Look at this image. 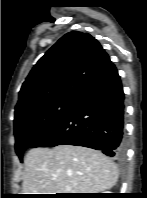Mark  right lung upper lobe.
I'll return each instance as SVG.
<instances>
[{
    "label": "right lung upper lobe",
    "instance_id": "obj_1",
    "mask_svg": "<svg viewBox=\"0 0 147 198\" xmlns=\"http://www.w3.org/2000/svg\"><path fill=\"white\" fill-rule=\"evenodd\" d=\"M112 64L100 43L88 33L71 31L36 63L19 92L15 118L56 100H76Z\"/></svg>",
    "mask_w": 147,
    "mask_h": 198
}]
</instances>
